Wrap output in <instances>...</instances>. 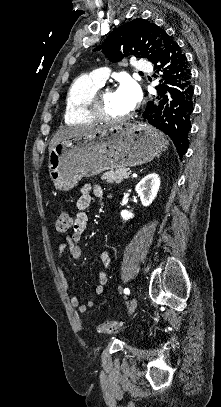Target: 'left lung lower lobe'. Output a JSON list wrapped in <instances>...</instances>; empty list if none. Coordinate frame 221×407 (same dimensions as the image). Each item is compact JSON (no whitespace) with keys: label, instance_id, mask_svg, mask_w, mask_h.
<instances>
[{"label":"left lung lower lobe","instance_id":"0a47b994","mask_svg":"<svg viewBox=\"0 0 221 407\" xmlns=\"http://www.w3.org/2000/svg\"><path fill=\"white\" fill-rule=\"evenodd\" d=\"M155 69L163 72L165 86H159L158 104L148 102L142 116L157 129L166 133L174 142L180 156L188 149L191 130L194 89L187 58L181 47L171 37L165 42L162 55Z\"/></svg>","mask_w":221,"mask_h":407}]
</instances>
